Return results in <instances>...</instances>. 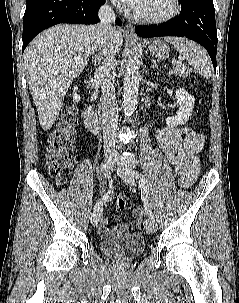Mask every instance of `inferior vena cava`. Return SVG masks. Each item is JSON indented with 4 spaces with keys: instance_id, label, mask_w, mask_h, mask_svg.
Listing matches in <instances>:
<instances>
[{
    "instance_id": "obj_1",
    "label": "inferior vena cava",
    "mask_w": 239,
    "mask_h": 303,
    "mask_svg": "<svg viewBox=\"0 0 239 303\" xmlns=\"http://www.w3.org/2000/svg\"><path fill=\"white\" fill-rule=\"evenodd\" d=\"M98 17L100 23L95 25L97 46L94 52H96L95 61H98L101 65L96 69L95 77L101 84L104 149L109 151L114 150L116 147V131L118 124V105L115 94L116 53L110 46V40L115 30L111 23L116 19L113 6L108 3L101 6L98 11Z\"/></svg>"
}]
</instances>
